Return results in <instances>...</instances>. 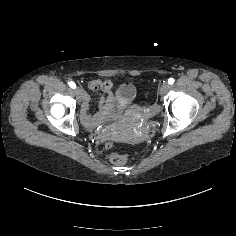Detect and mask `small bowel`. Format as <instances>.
Here are the masks:
<instances>
[{
	"label": "small bowel",
	"instance_id": "c3829d8e",
	"mask_svg": "<svg viewBox=\"0 0 236 236\" xmlns=\"http://www.w3.org/2000/svg\"><path fill=\"white\" fill-rule=\"evenodd\" d=\"M112 86H113V84H112V82L109 81V80L91 81V82L89 83V87H90L91 89H98V88H100V89H103L104 91H110L111 88H112ZM85 96H86V95H84V97H85ZM84 97H83V99H84ZM109 115H110V114H109ZM109 115H107V116H109Z\"/></svg>",
	"mask_w": 236,
	"mask_h": 236
}]
</instances>
